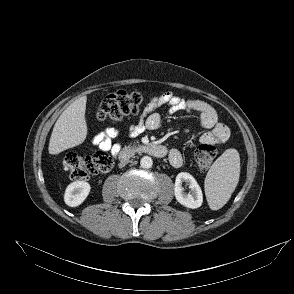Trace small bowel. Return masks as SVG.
Returning a JSON list of instances; mask_svg holds the SVG:
<instances>
[{
  "label": "small bowel",
  "mask_w": 294,
  "mask_h": 294,
  "mask_svg": "<svg viewBox=\"0 0 294 294\" xmlns=\"http://www.w3.org/2000/svg\"><path fill=\"white\" fill-rule=\"evenodd\" d=\"M167 105L169 113L186 112L198 113L200 116V125L205 132L200 137L201 143L220 144L224 143L229 137V129L223 123L218 121V116L214 108L208 103L198 99H184L173 92H165L152 97L138 122L132 124L129 128L130 135L137 137L146 130H157L161 127L162 118L157 110ZM119 131L116 128L109 127L96 134L92 138V146L103 151H109L116 156L121 145L113 143L112 140L118 136ZM169 161L172 166L180 167L183 164V157L177 149L169 152Z\"/></svg>",
  "instance_id": "small-bowel-1"
}]
</instances>
